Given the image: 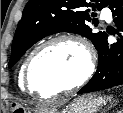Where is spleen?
Here are the masks:
<instances>
[{
  "label": "spleen",
  "mask_w": 123,
  "mask_h": 113,
  "mask_svg": "<svg viewBox=\"0 0 123 113\" xmlns=\"http://www.w3.org/2000/svg\"><path fill=\"white\" fill-rule=\"evenodd\" d=\"M107 99H108L109 101H111V97H108Z\"/></svg>",
  "instance_id": "1"
}]
</instances>
